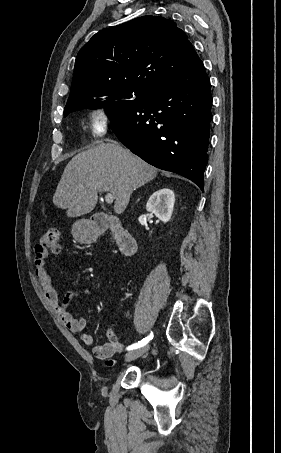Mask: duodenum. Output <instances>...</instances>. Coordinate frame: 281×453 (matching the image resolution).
<instances>
[{
    "mask_svg": "<svg viewBox=\"0 0 281 453\" xmlns=\"http://www.w3.org/2000/svg\"><path fill=\"white\" fill-rule=\"evenodd\" d=\"M110 231L115 242L124 256H131L136 252L137 243L135 238L122 226L120 221L110 217H96L91 223V234L97 237Z\"/></svg>",
    "mask_w": 281,
    "mask_h": 453,
    "instance_id": "410a0bca",
    "label": "duodenum"
}]
</instances>
